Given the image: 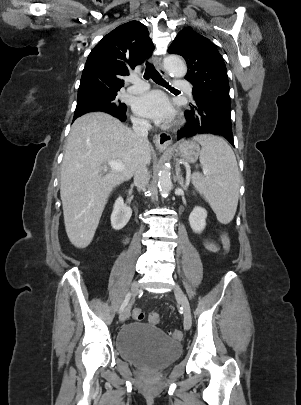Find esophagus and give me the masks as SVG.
<instances>
[{"instance_id": "obj_1", "label": "esophagus", "mask_w": 301, "mask_h": 405, "mask_svg": "<svg viewBox=\"0 0 301 405\" xmlns=\"http://www.w3.org/2000/svg\"><path fill=\"white\" fill-rule=\"evenodd\" d=\"M152 61H153L154 66L156 67V69L161 74H165V70L163 68L161 59L157 56H154V57H152ZM154 142H155L156 147H158L160 149H165L171 145L172 136L168 133H160L155 136Z\"/></svg>"}]
</instances>
